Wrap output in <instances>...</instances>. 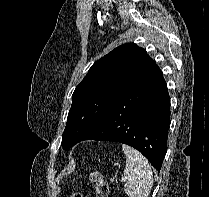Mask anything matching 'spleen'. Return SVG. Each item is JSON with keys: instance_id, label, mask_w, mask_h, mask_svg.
Segmentation results:
<instances>
[{"instance_id": "1", "label": "spleen", "mask_w": 209, "mask_h": 197, "mask_svg": "<svg viewBox=\"0 0 209 197\" xmlns=\"http://www.w3.org/2000/svg\"><path fill=\"white\" fill-rule=\"evenodd\" d=\"M126 156L125 193L129 197H148L153 185V173L148 160L136 149L122 144Z\"/></svg>"}]
</instances>
